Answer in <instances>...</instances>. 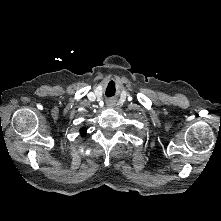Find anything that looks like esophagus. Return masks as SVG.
<instances>
[{
	"label": "esophagus",
	"mask_w": 221,
	"mask_h": 221,
	"mask_svg": "<svg viewBox=\"0 0 221 221\" xmlns=\"http://www.w3.org/2000/svg\"><path fill=\"white\" fill-rule=\"evenodd\" d=\"M112 104L113 103L111 101L107 103L108 106H112Z\"/></svg>",
	"instance_id": "esophagus-1"
}]
</instances>
